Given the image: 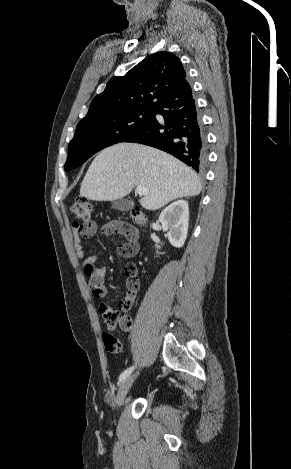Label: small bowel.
<instances>
[{
	"label": "small bowel",
	"instance_id": "small-bowel-1",
	"mask_svg": "<svg viewBox=\"0 0 291 469\" xmlns=\"http://www.w3.org/2000/svg\"><path fill=\"white\" fill-rule=\"evenodd\" d=\"M98 225L95 221H91L87 226L86 230H82L81 225L78 223L73 224V232H74V249L75 253L78 259L84 260L83 261V272L87 279L89 280V286L92 291V293L97 297V298H105L107 294V289L104 285V279L108 271L107 266H103L100 268H94L93 265L98 259L97 255L86 257V253L84 251V246H83V238L90 237L94 235L97 231ZM102 232L105 235H113V234H119V235H124L128 242L132 243L135 246V251L132 254L128 255H123L125 257H131L135 255L137 252V244H136V236L137 232L134 228L129 226L126 223L119 222V221H110L105 223L102 226ZM127 285V282H126ZM127 294V292H126ZM102 305V303H101ZM100 305V306H101ZM106 307L110 308L108 305ZM123 331H129L131 328H123L120 327Z\"/></svg>",
	"mask_w": 291,
	"mask_h": 469
}]
</instances>
